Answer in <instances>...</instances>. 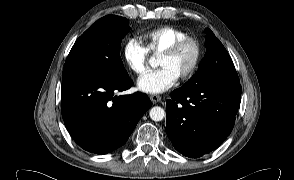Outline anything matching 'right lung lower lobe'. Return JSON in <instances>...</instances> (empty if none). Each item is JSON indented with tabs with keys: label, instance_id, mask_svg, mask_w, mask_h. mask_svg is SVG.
Masks as SVG:
<instances>
[{
	"label": "right lung lower lobe",
	"instance_id": "right-lung-lower-lobe-1",
	"mask_svg": "<svg viewBox=\"0 0 294 180\" xmlns=\"http://www.w3.org/2000/svg\"><path fill=\"white\" fill-rule=\"evenodd\" d=\"M133 82L96 76L62 81L61 104L64 124L84 150L106 154L122 146L143 114L152 106L146 94L115 96Z\"/></svg>",
	"mask_w": 294,
	"mask_h": 180
}]
</instances>
